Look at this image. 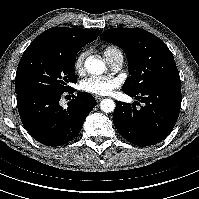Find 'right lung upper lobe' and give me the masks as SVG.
I'll use <instances>...</instances> for the list:
<instances>
[{
    "instance_id": "1",
    "label": "right lung upper lobe",
    "mask_w": 199,
    "mask_h": 199,
    "mask_svg": "<svg viewBox=\"0 0 199 199\" xmlns=\"http://www.w3.org/2000/svg\"><path fill=\"white\" fill-rule=\"evenodd\" d=\"M100 30L53 27L41 33L31 44H44L55 49L72 52L94 41Z\"/></svg>"
}]
</instances>
